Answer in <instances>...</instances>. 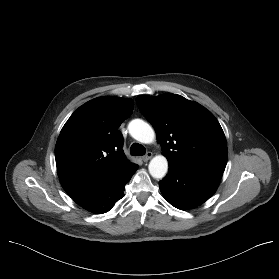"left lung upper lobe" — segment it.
Returning <instances> with one entry per match:
<instances>
[{"instance_id":"left-lung-upper-lobe-1","label":"left lung upper lobe","mask_w":279,"mask_h":279,"mask_svg":"<svg viewBox=\"0 0 279 279\" xmlns=\"http://www.w3.org/2000/svg\"><path fill=\"white\" fill-rule=\"evenodd\" d=\"M141 113L152 124L169 163L223 173L228 149L214 115L200 104L172 93L138 96Z\"/></svg>"}]
</instances>
